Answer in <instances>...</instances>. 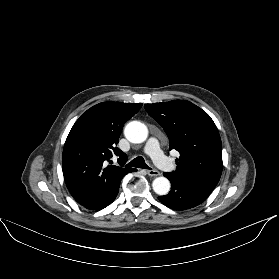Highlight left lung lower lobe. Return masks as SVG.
Instances as JSON below:
<instances>
[{
	"instance_id": "1",
	"label": "left lung lower lobe",
	"mask_w": 279,
	"mask_h": 279,
	"mask_svg": "<svg viewBox=\"0 0 279 279\" xmlns=\"http://www.w3.org/2000/svg\"><path fill=\"white\" fill-rule=\"evenodd\" d=\"M171 182V191L158 197L159 200L169 208L174 210H186L198 206L204 202L210 194L195 187L181 183L164 173Z\"/></svg>"
}]
</instances>
